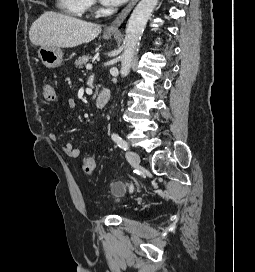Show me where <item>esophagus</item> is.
<instances>
[{
    "label": "esophagus",
    "instance_id": "34e87169",
    "mask_svg": "<svg viewBox=\"0 0 255 272\" xmlns=\"http://www.w3.org/2000/svg\"><path fill=\"white\" fill-rule=\"evenodd\" d=\"M138 0H130L128 5L118 14V16L112 21V23L106 28V32L114 33L118 32V28L133 9Z\"/></svg>",
    "mask_w": 255,
    "mask_h": 272
}]
</instances>
